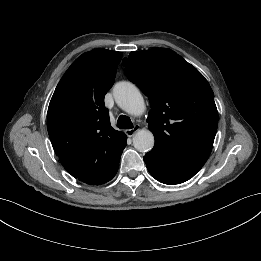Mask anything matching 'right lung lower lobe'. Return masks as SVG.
Here are the masks:
<instances>
[{
    "label": "right lung lower lobe",
    "mask_w": 261,
    "mask_h": 261,
    "mask_svg": "<svg viewBox=\"0 0 261 261\" xmlns=\"http://www.w3.org/2000/svg\"><path fill=\"white\" fill-rule=\"evenodd\" d=\"M118 170V169H117ZM117 170L110 176V178L108 179V180H106L105 182H107V181H109V180H111L114 176H115V174H116V172H117ZM104 182V183H105Z\"/></svg>",
    "instance_id": "1"
}]
</instances>
